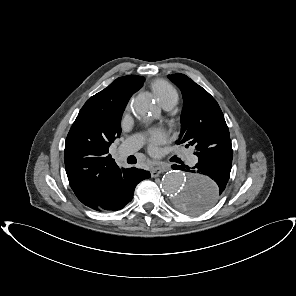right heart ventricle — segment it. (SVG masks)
<instances>
[{"instance_id":"right-heart-ventricle-1","label":"right heart ventricle","mask_w":296,"mask_h":296,"mask_svg":"<svg viewBox=\"0 0 296 296\" xmlns=\"http://www.w3.org/2000/svg\"><path fill=\"white\" fill-rule=\"evenodd\" d=\"M151 87L164 107L177 103L178 93L176 89L168 82L164 80H156L152 83Z\"/></svg>"}]
</instances>
